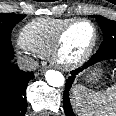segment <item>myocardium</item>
Listing matches in <instances>:
<instances>
[{"label":"myocardium","instance_id":"f54148a6","mask_svg":"<svg viewBox=\"0 0 116 116\" xmlns=\"http://www.w3.org/2000/svg\"><path fill=\"white\" fill-rule=\"evenodd\" d=\"M79 23H87L92 27L93 35L91 42L89 43V45L87 46V48L81 56H79L77 59L73 61H66L62 55L65 36L74 25ZM97 41L98 30L93 21L86 18L72 19L66 25H64L58 32L50 52V59L55 66L63 70H73L79 68L89 60L97 45Z\"/></svg>","mask_w":116,"mask_h":116}]
</instances>
